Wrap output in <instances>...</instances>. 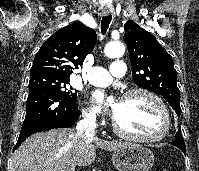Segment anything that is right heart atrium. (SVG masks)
<instances>
[{"label": "right heart atrium", "instance_id": "1", "mask_svg": "<svg viewBox=\"0 0 199 171\" xmlns=\"http://www.w3.org/2000/svg\"><path fill=\"white\" fill-rule=\"evenodd\" d=\"M83 119L86 123L92 126H98L99 125V119L96 114V112L93 109L85 108L83 109Z\"/></svg>", "mask_w": 199, "mask_h": 171}]
</instances>
